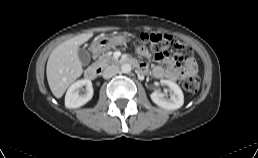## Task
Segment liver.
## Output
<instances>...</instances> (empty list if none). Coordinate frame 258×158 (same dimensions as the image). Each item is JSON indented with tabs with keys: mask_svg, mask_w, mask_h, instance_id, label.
Instances as JSON below:
<instances>
[{
	"mask_svg": "<svg viewBox=\"0 0 258 158\" xmlns=\"http://www.w3.org/2000/svg\"><path fill=\"white\" fill-rule=\"evenodd\" d=\"M92 36V32L77 35L62 42L51 52L46 74L50 90L56 98H61L69 85L82 75V63L78 57L79 46Z\"/></svg>",
	"mask_w": 258,
	"mask_h": 158,
	"instance_id": "liver-1",
	"label": "liver"
}]
</instances>
